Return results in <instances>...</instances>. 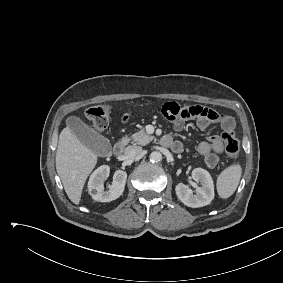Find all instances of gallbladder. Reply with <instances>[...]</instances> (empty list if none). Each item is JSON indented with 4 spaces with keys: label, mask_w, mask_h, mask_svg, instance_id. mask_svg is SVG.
Instances as JSON below:
<instances>
[{
    "label": "gallbladder",
    "mask_w": 283,
    "mask_h": 283,
    "mask_svg": "<svg viewBox=\"0 0 283 283\" xmlns=\"http://www.w3.org/2000/svg\"><path fill=\"white\" fill-rule=\"evenodd\" d=\"M68 126L82 144L98 156H109L112 148L109 140L88 127L79 118L68 119Z\"/></svg>",
    "instance_id": "gallbladder-1"
}]
</instances>
